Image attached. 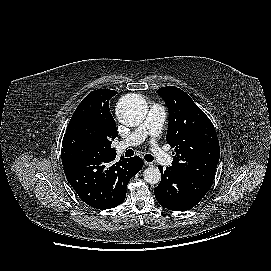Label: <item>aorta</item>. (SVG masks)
<instances>
[{
	"instance_id": "1",
	"label": "aorta",
	"mask_w": 271,
	"mask_h": 271,
	"mask_svg": "<svg viewBox=\"0 0 271 271\" xmlns=\"http://www.w3.org/2000/svg\"><path fill=\"white\" fill-rule=\"evenodd\" d=\"M116 113L121 123L137 126L145 119L147 106L140 96L126 95L121 98ZM143 177L147 183L154 185L161 180V173L157 167L151 166L144 170Z\"/></svg>"
}]
</instances>
